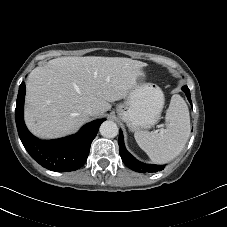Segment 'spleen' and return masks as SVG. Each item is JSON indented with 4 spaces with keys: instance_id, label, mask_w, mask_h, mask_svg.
<instances>
[{
    "instance_id": "spleen-1",
    "label": "spleen",
    "mask_w": 227,
    "mask_h": 227,
    "mask_svg": "<svg viewBox=\"0 0 227 227\" xmlns=\"http://www.w3.org/2000/svg\"><path fill=\"white\" fill-rule=\"evenodd\" d=\"M166 129L157 131H136L135 140L150 159L158 164L167 163L183 150L190 135V116L183 98L172 96L166 112Z\"/></svg>"
}]
</instances>
